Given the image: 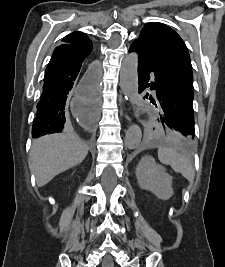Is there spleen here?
<instances>
[{"instance_id": "obj_1", "label": "spleen", "mask_w": 225, "mask_h": 267, "mask_svg": "<svg viewBox=\"0 0 225 267\" xmlns=\"http://www.w3.org/2000/svg\"><path fill=\"white\" fill-rule=\"evenodd\" d=\"M158 159L162 164L170 165L175 172L180 173L189 182H193L195 177L194 168L191 160L186 156L171 148L160 147L158 149Z\"/></svg>"}]
</instances>
